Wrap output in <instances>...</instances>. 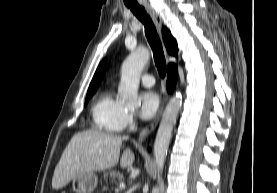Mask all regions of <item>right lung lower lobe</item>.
Wrapping results in <instances>:
<instances>
[{
	"instance_id": "1",
	"label": "right lung lower lobe",
	"mask_w": 277,
	"mask_h": 193,
	"mask_svg": "<svg viewBox=\"0 0 277 193\" xmlns=\"http://www.w3.org/2000/svg\"><path fill=\"white\" fill-rule=\"evenodd\" d=\"M176 80H177V66L175 64H169L167 83H166L168 92H172L174 90Z\"/></svg>"
}]
</instances>
